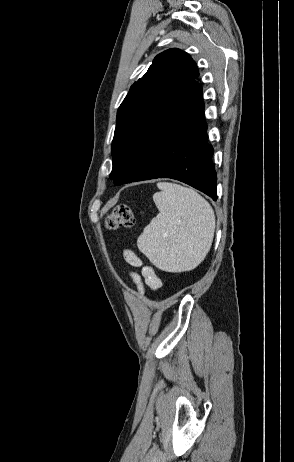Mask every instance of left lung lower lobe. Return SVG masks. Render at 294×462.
I'll use <instances>...</instances> for the list:
<instances>
[{
    "mask_svg": "<svg viewBox=\"0 0 294 462\" xmlns=\"http://www.w3.org/2000/svg\"><path fill=\"white\" fill-rule=\"evenodd\" d=\"M202 88L195 81L173 102L157 106L113 178L115 185L155 179L182 181L216 200L217 176L207 144Z\"/></svg>",
    "mask_w": 294,
    "mask_h": 462,
    "instance_id": "0a47b994",
    "label": "left lung lower lobe"
}]
</instances>
